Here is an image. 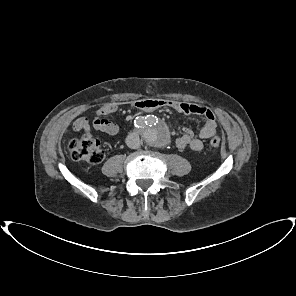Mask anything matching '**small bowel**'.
<instances>
[{
	"mask_svg": "<svg viewBox=\"0 0 296 296\" xmlns=\"http://www.w3.org/2000/svg\"><path fill=\"white\" fill-rule=\"evenodd\" d=\"M134 106L143 112L171 108L179 113L203 116L206 122L199 130L197 136H194L189 128H185L183 135L175 140V145L179 149L189 148L193 151H201L204 147V140L216 133L217 124L215 115L212 110L202 105L173 100L147 99L135 102ZM117 110L118 105L116 103H106L96 111L91 123L87 118H78L73 123V129L75 131L88 132L91 128H94L95 130L116 137L120 132L119 126L104 117L113 115Z\"/></svg>",
	"mask_w": 296,
	"mask_h": 296,
	"instance_id": "1",
	"label": "small bowel"
}]
</instances>
